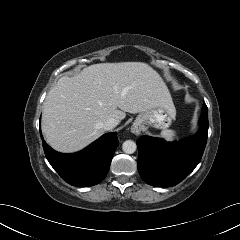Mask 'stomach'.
<instances>
[{
  "mask_svg": "<svg viewBox=\"0 0 240 240\" xmlns=\"http://www.w3.org/2000/svg\"><path fill=\"white\" fill-rule=\"evenodd\" d=\"M175 107L173 106H157L145 112H141L135 119L133 128H143L152 126L157 129H166L175 118Z\"/></svg>",
  "mask_w": 240,
  "mask_h": 240,
  "instance_id": "stomach-1",
  "label": "stomach"
}]
</instances>
